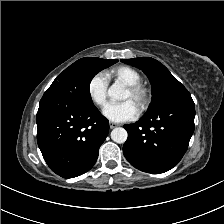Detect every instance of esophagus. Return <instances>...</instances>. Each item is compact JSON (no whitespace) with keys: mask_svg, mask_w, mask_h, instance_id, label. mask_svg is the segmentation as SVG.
Segmentation results:
<instances>
[{"mask_svg":"<svg viewBox=\"0 0 224 224\" xmlns=\"http://www.w3.org/2000/svg\"><path fill=\"white\" fill-rule=\"evenodd\" d=\"M119 126V124H116V123H113V122H110L109 123V127L110 129H114L115 127Z\"/></svg>","mask_w":224,"mask_h":224,"instance_id":"34e87169","label":"esophagus"}]
</instances>
